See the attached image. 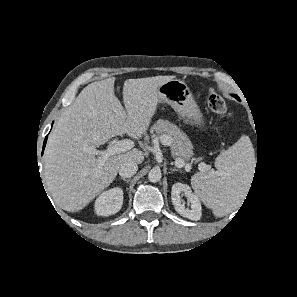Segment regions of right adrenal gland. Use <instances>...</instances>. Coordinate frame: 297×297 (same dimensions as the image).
Instances as JSON below:
<instances>
[{"label": "right adrenal gland", "instance_id": "2a0ac1e0", "mask_svg": "<svg viewBox=\"0 0 297 297\" xmlns=\"http://www.w3.org/2000/svg\"><path fill=\"white\" fill-rule=\"evenodd\" d=\"M119 179L123 180V181H126L127 183L130 182V179H126V178H123V177H120Z\"/></svg>", "mask_w": 297, "mask_h": 297}]
</instances>
